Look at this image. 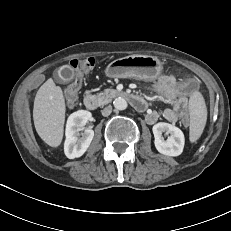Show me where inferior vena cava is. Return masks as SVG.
<instances>
[{"instance_id":"inferior-vena-cava-1","label":"inferior vena cava","mask_w":231,"mask_h":231,"mask_svg":"<svg viewBox=\"0 0 231 231\" xmlns=\"http://www.w3.org/2000/svg\"><path fill=\"white\" fill-rule=\"evenodd\" d=\"M112 112V107L111 106H107L102 110V115L107 117L111 114Z\"/></svg>"}]
</instances>
